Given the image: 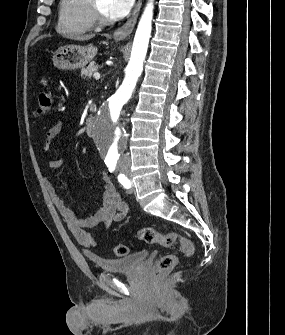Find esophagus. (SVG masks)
<instances>
[{
    "instance_id": "1",
    "label": "esophagus",
    "mask_w": 285,
    "mask_h": 335,
    "mask_svg": "<svg viewBox=\"0 0 285 335\" xmlns=\"http://www.w3.org/2000/svg\"><path fill=\"white\" fill-rule=\"evenodd\" d=\"M141 5L142 0H138L137 6L133 11L132 16L127 20V22L122 27L115 30L113 34L115 39H123L133 32L134 26L137 21V17L140 12Z\"/></svg>"
}]
</instances>
